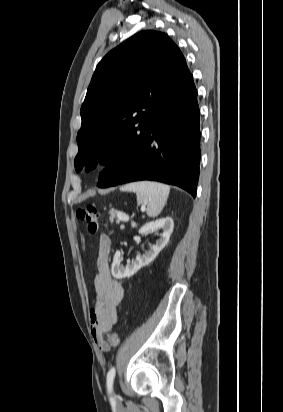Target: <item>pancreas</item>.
I'll use <instances>...</instances> for the list:
<instances>
[{"instance_id": "1", "label": "pancreas", "mask_w": 283, "mask_h": 412, "mask_svg": "<svg viewBox=\"0 0 283 412\" xmlns=\"http://www.w3.org/2000/svg\"><path fill=\"white\" fill-rule=\"evenodd\" d=\"M109 213H110L109 220H110L111 223H113V222H114V219L116 218V213H117V211H116V210H111ZM116 222L119 223L120 220L117 219Z\"/></svg>"}]
</instances>
